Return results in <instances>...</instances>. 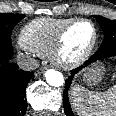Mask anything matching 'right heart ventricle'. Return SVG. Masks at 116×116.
Masks as SVG:
<instances>
[{"label":"right heart ventricle","mask_w":116,"mask_h":116,"mask_svg":"<svg viewBox=\"0 0 116 116\" xmlns=\"http://www.w3.org/2000/svg\"><path fill=\"white\" fill-rule=\"evenodd\" d=\"M71 18H41L27 23L19 36L20 45L29 52L41 57L51 54L55 39L60 30Z\"/></svg>","instance_id":"e07e8e85"}]
</instances>
